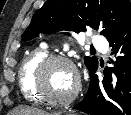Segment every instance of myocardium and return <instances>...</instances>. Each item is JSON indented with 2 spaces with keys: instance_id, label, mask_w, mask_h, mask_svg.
Returning <instances> with one entry per match:
<instances>
[{
  "instance_id": "f54148a6",
  "label": "myocardium",
  "mask_w": 131,
  "mask_h": 115,
  "mask_svg": "<svg viewBox=\"0 0 131 115\" xmlns=\"http://www.w3.org/2000/svg\"><path fill=\"white\" fill-rule=\"evenodd\" d=\"M63 63L68 65L74 73L75 85L72 92L65 98H54L46 90V73L50 66ZM34 89L40 98L49 105L63 107L72 103L79 94L81 81L80 74L75 63L63 55H50L45 57L36 67L33 81Z\"/></svg>"
}]
</instances>
